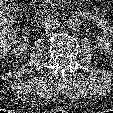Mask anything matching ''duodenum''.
<instances>
[{"label": "duodenum", "instance_id": "1", "mask_svg": "<svg viewBox=\"0 0 113 113\" xmlns=\"http://www.w3.org/2000/svg\"><path fill=\"white\" fill-rule=\"evenodd\" d=\"M40 17H41V18H48V17H50V15H49L47 12H42V13L40 14Z\"/></svg>", "mask_w": 113, "mask_h": 113}]
</instances>
